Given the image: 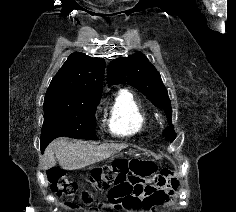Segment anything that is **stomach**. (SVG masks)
I'll use <instances>...</instances> for the list:
<instances>
[{
    "label": "stomach",
    "mask_w": 236,
    "mask_h": 212,
    "mask_svg": "<svg viewBox=\"0 0 236 212\" xmlns=\"http://www.w3.org/2000/svg\"><path fill=\"white\" fill-rule=\"evenodd\" d=\"M126 154H128V155H134V156H137V155H138L137 150L134 149V148L128 149V151L126 152Z\"/></svg>",
    "instance_id": "1"
}]
</instances>
